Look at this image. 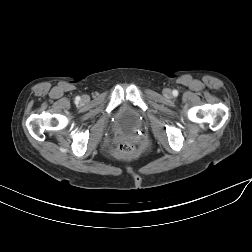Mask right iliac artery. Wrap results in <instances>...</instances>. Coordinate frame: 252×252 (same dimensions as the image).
Instances as JSON below:
<instances>
[{"label": "right iliac artery", "instance_id": "1", "mask_svg": "<svg viewBox=\"0 0 252 252\" xmlns=\"http://www.w3.org/2000/svg\"><path fill=\"white\" fill-rule=\"evenodd\" d=\"M79 99H80L79 97H76V100H77V101H79Z\"/></svg>", "mask_w": 252, "mask_h": 252}]
</instances>
